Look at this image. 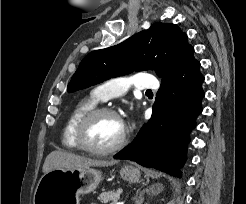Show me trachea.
I'll return each mask as SVG.
<instances>
[{
  "mask_svg": "<svg viewBox=\"0 0 246 204\" xmlns=\"http://www.w3.org/2000/svg\"><path fill=\"white\" fill-rule=\"evenodd\" d=\"M146 93H152V91L151 90H147Z\"/></svg>",
  "mask_w": 246,
  "mask_h": 204,
  "instance_id": "3493384b",
  "label": "trachea"
}]
</instances>
